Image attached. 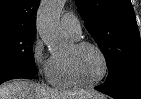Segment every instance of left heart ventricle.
I'll return each instance as SVG.
<instances>
[{
    "label": "left heart ventricle",
    "instance_id": "1",
    "mask_svg": "<svg viewBox=\"0 0 141 99\" xmlns=\"http://www.w3.org/2000/svg\"><path fill=\"white\" fill-rule=\"evenodd\" d=\"M67 57L73 59L79 78L86 82L98 79L103 71V63L98 52L91 47L76 50L74 46L70 49Z\"/></svg>",
    "mask_w": 141,
    "mask_h": 99
}]
</instances>
